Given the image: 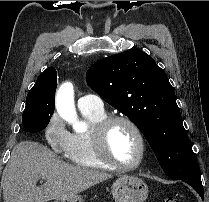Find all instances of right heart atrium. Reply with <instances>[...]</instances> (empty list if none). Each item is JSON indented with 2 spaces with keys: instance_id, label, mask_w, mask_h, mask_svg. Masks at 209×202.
Wrapping results in <instances>:
<instances>
[{
  "instance_id": "right-heart-atrium-1",
  "label": "right heart atrium",
  "mask_w": 209,
  "mask_h": 202,
  "mask_svg": "<svg viewBox=\"0 0 209 202\" xmlns=\"http://www.w3.org/2000/svg\"><path fill=\"white\" fill-rule=\"evenodd\" d=\"M43 134L45 140L54 151L61 154L67 151L71 134L56 113L52 114L48 118L43 129Z\"/></svg>"
}]
</instances>
